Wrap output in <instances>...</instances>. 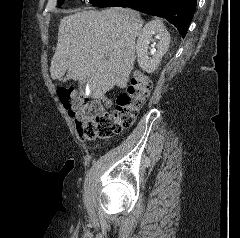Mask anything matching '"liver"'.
<instances>
[{"instance_id": "liver-1", "label": "liver", "mask_w": 240, "mask_h": 238, "mask_svg": "<svg viewBox=\"0 0 240 238\" xmlns=\"http://www.w3.org/2000/svg\"><path fill=\"white\" fill-rule=\"evenodd\" d=\"M143 21L131 9L81 11L63 17L51 60L53 80L87 82L91 97L100 98L115 85L124 88L135 62V39Z\"/></svg>"}]
</instances>
